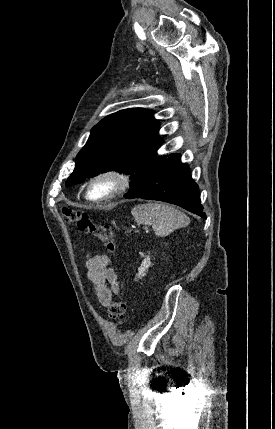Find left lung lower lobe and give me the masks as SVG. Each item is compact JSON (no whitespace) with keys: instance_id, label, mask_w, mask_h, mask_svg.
<instances>
[{"instance_id":"obj_1","label":"left lung lower lobe","mask_w":275,"mask_h":429,"mask_svg":"<svg viewBox=\"0 0 275 429\" xmlns=\"http://www.w3.org/2000/svg\"><path fill=\"white\" fill-rule=\"evenodd\" d=\"M126 199L159 200L206 218L200 202L198 185L189 166L180 161V154L156 156L124 195Z\"/></svg>"}]
</instances>
